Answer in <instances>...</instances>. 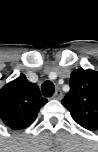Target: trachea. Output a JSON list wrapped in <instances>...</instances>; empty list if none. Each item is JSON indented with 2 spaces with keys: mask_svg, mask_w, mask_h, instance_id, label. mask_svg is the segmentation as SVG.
Wrapping results in <instances>:
<instances>
[{
  "mask_svg": "<svg viewBox=\"0 0 98 152\" xmlns=\"http://www.w3.org/2000/svg\"><path fill=\"white\" fill-rule=\"evenodd\" d=\"M41 91L43 96L51 97L54 94L55 86L51 81H45L41 85Z\"/></svg>",
  "mask_w": 98,
  "mask_h": 152,
  "instance_id": "obj_1",
  "label": "trachea"
}]
</instances>
